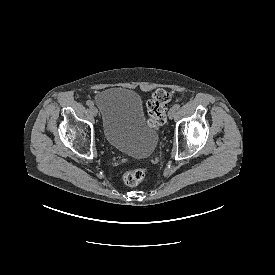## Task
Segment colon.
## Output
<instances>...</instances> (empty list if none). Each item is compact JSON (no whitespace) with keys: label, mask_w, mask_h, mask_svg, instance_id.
<instances>
[{"label":"colon","mask_w":275,"mask_h":275,"mask_svg":"<svg viewBox=\"0 0 275 275\" xmlns=\"http://www.w3.org/2000/svg\"><path fill=\"white\" fill-rule=\"evenodd\" d=\"M170 94L162 89L156 90L146 104L148 119L151 128L157 130L166 122V112L170 103ZM146 176V169L143 167H127L122 171V180L127 186L139 185Z\"/></svg>","instance_id":"obj_1"}]
</instances>
